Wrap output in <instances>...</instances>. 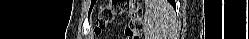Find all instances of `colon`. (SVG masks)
<instances>
[{
	"mask_svg": "<svg viewBox=\"0 0 249 39\" xmlns=\"http://www.w3.org/2000/svg\"><path fill=\"white\" fill-rule=\"evenodd\" d=\"M127 13L129 22L125 33L129 39H138L142 29V8L136 0H110L107 4L99 7L98 17L95 25V34L99 35L114 21L116 16Z\"/></svg>",
	"mask_w": 249,
	"mask_h": 39,
	"instance_id": "1",
	"label": "colon"
}]
</instances>
